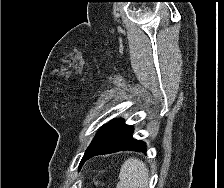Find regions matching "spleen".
Wrapping results in <instances>:
<instances>
[{"label":"spleen","mask_w":224,"mask_h":188,"mask_svg":"<svg viewBox=\"0 0 224 188\" xmlns=\"http://www.w3.org/2000/svg\"><path fill=\"white\" fill-rule=\"evenodd\" d=\"M119 179L116 188H146L148 169L139 159L129 158L121 167Z\"/></svg>","instance_id":"obj_1"}]
</instances>
